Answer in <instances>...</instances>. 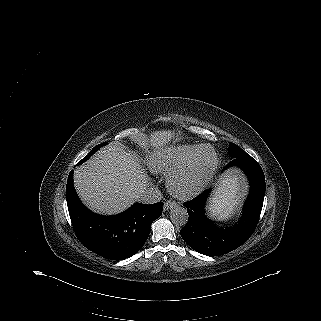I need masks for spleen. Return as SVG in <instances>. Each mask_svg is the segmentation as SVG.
<instances>
[{"label":"spleen","instance_id":"spleen-1","mask_svg":"<svg viewBox=\"0 0 321 321\" xmlns=\"http://www.w3.org/2000/svg\"><path fill=\"white\" fill-rule=\"evenodd\" d=\"M234 205L235 203L230 201L229 198H225L219 202L217 201V199H213L212 204L209 207V210L212 216L224 218L231 214Z\"/></svg>","mask_w":321,"mask_h":321}]
</instances>
